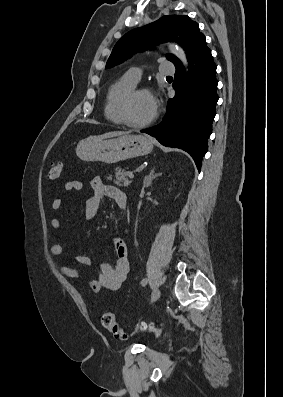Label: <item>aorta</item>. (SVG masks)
<instances>
[{"label": "aorta", "mask_w": 283, "mask_h": 397, "mask_svg": "<svg viewBox=\"0 0 283 397\" xmlns=\"http://www.w3.org/2000/svg\"><path fill=\"white\" fill-rule=\"evenodd\" d=\"M169 48H170L171 52H172L174 55H176V56L182 61V63L184 64V66H185L186 69H187L188 63H187L186 55H185L183 49L180 48V47H178V46L175 45V44H170V45H169Z\"/></svg>", "instance_id": "762f6f07"}]
</instances>
